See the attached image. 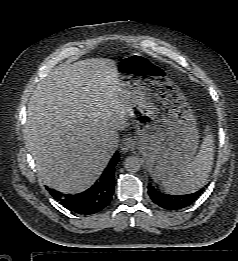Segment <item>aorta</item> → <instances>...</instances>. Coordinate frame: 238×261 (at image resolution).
I'll list each match as a JSON object with an SVG mask.
<instances>
[{"label": "aorta", "instance_id": "1", "mask_svg": "<svg viewBox=\"0 0 238 261\" xmlns=\"http://www.w3.org/2000/svg\"><path fill=\"white\" fill-rule=\"evenodd\" d=\"M142 161L136 156H128L124 160V167L129 172H138L141 169Z\"/></svg>", "mask_w": 238, "mask_h": 261}]
</instances>
